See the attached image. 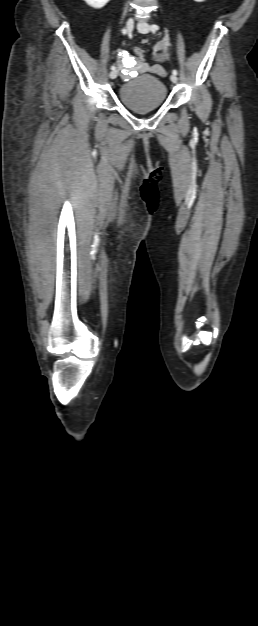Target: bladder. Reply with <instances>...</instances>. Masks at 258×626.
Masks as SVG:
<instances>
[{
  "label": "bladder",
  "mask_w": 258,
  "mask_h": 626,
  "mask_svg": "<svg viewBox=\"0 0 258 626\" xmlns=\"http://www.w3.org/2000/svg\"><path fill=\"white\" fill-rule=\"evenodd\" d=\"M122 104L128 109L143 113L161 107L167 97L165 84L152 75H141L124 82L119 88Z\"/></svg>",
  "instance_id": "1"
}]
</instances>
